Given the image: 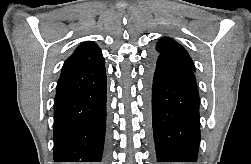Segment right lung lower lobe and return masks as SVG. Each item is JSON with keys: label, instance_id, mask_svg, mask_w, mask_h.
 Listing matches in <instances>:
<instances>
[{"label": "right lung lower lobe", "instance_id": "98d812e1", "mask_svg": "<svg viewBox=\"0 0 251 164\" xmlns=\"http://www.w3.org/2000/svg\"><path fill=\"white\" fill-rule=\"evenodd\" d=\"M104 64L60 76L54 99V161L108 159Z\"/></svg>", "mask_w": 251, "mask_h": 164}]
</instances>
